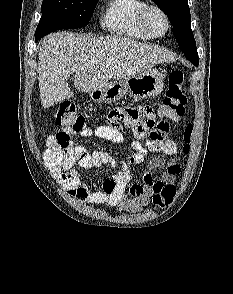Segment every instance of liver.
Segmentation results:
<instances>
[{"label": "liver", "instance_id": "obj_1", "mask_svg": "<svg viewBox=\"0 0 233 294\" xmlns=\"http://www.w3.org/2000/svg\"><path fill=\"white\" fill-rule=\"evenodd\" d=\"M38 81L44 108L73 97L67 82L75 73L74 87L91 93L108 81L128 79L174 57L158 46L120 36L87 37L72 33L47 36L39 51Z\"/></svg>", "mask_w": 233, "mask_h": 294}]
</instances>
